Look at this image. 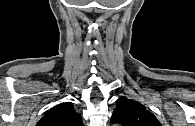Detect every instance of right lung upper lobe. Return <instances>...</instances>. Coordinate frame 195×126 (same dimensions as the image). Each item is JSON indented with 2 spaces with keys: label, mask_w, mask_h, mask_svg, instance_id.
Instances as JSON below:
<instances>
[{
  "label": "right lung upper lobe",
  "mask_w": 195,
  "mask_h": 126,
  "mask_svg": "<svg viewBox=\"0 0 195 126\" xmlns=\"http://www.w3.org/2000/svg\"><path fill=\"white\" fill-rule=\"evenodd\" d=\"M36 126H83L71 102L61 103L44 115Z\"/></svg>",
  "instance_id": "cb5924a9"
}]
</instances>
